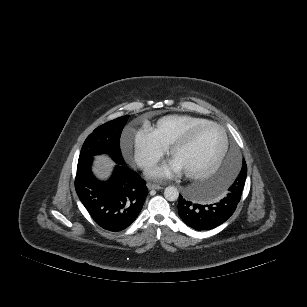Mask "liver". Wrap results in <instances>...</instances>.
<instances>
[{
  "label": "liver",
  "instance_id": "obj_1",
  "mask_svg": "<svg viewBox=\"0 0 307 307\" xmlns=\"http://www.w3.org/2000/svg\"><path fill=\"white\" fill-rule=\"evenodd\" d=\"M114 163L107 156L96 157L94 172L101 178H107L112 170Z\"/></svg>",
  "mask_w": 307,
  "mask_h": 307
}]
</instances>
